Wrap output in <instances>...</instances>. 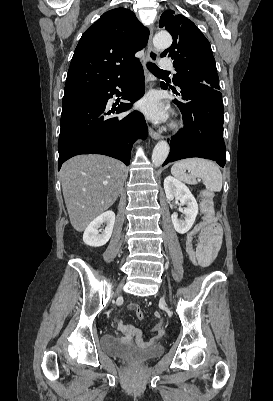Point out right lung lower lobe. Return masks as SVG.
<instances>
[{
	"label": "right lung lower lobe",
	"instance_id": "98d812e1",
	"mask_svg": "<svg viewBox=\"0 0 273 401\" xmlns=\"http://www.w3.org/2000/svg\"><path fill=\"white\" fill-rule=\"evenodd\" d=\"M117 86L124 90L123 99L137 101L144 94L142 65L138 63L123 77L62 104L58 170L64 161L79 154H104L129 165L132 144L138 137L145 139L148 129L139 111L125 117H106L132 106L121 103L108 111V99L118 91Z\"/></svg>",
	"mask_w": 273,
	"mask_h": 401
}]
</instances>
